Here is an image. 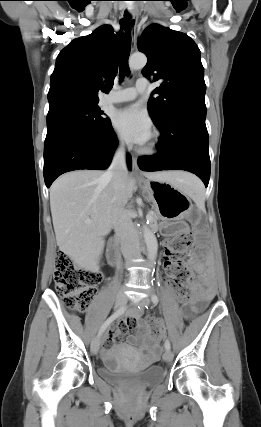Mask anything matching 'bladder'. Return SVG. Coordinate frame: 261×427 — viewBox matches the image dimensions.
<instances>
[{"label":"bladder","mask_w":261,"mask_h":427,"mask_svg":"<svg viewBox=\"0 0 261 427\" xmlns=\"http://www.w3.org/2000/svg\"><path fill=\"white\" fill-rule=\"evenodd\" d=\"M98 374L101 378L115 384H133L140 387L156 386L165 378V370L159 365L135 370L122 366L112 354L103 358L102 365L98 368Z\"/></svg>","instance_id":"obj_1"}]
</instances>
